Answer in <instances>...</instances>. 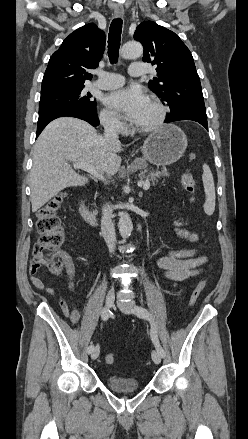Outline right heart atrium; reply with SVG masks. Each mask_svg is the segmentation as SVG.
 Returning <instances> with one entry per match:
<instances>
[{
	"mask_svg": "<svg viewBox=\"0 0 248 439\" xmlns=\"http://www.w3.org/2000/svg\"><path fill=\"white\" fill-rule=\"evenodd\" d=\"M99 119L107 130L115 133H122L125 130V124L122 119L111 110L103 109L99 114Z\"/></svg>",
	"mask_w": 248,
	"mask_h": 439,
	"instance_id": "obj_1",
	"label": "right heart atrium"
}]
</instances>
